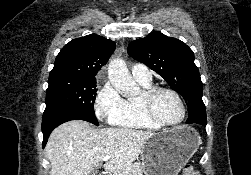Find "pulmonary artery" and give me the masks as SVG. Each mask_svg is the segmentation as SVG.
Here are the masks:
<instances>
[{"label":"pulmonary artery","mask_w":251,"mask_h":175,"mask_svg":"<svg viewBox=\"0 0 251 175\" xmlns=\"http://www.w3.org/2000/svg\"><path fill=\"white\" fill-rule=\"evenodd\" d=\"M131 73L132 77L139 83H152V73L147 67H144V62H135V66L132 67Z\"/></svg>","instance_id":"obj_1"}]
</instances>
